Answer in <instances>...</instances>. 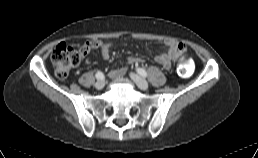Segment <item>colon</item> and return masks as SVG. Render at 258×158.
I'll use <instances>...</instances> for the list:
<instances>
[{
  "instance_id": "obj_1",
  "label": "colon",
  "mask_w": 258,
  "mask_h": 158,
  "mask_svg": "<svg viewBox=\"0 0 258 158\" xmlns=\"http://www.w3.org/2000/svg\"><path fill=\"white\" fill-rule=\"evenodd\" d=\"M90 51L89 46L82 45L76 47L74 45L60 43L54 49L51 61L55 69V74L59 78H66L71 70L79 64L82 57ZM193 61L187 54L181 56L178 63V73L182 77H188L192 73Z\"/></svg>"
}]
</instances>
